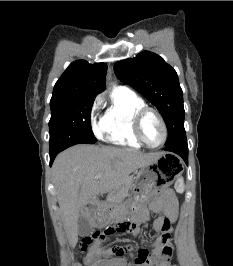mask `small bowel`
<instances>
[{"label": "small bowel", "instance_id": "obj_1", "mask_svg": "<svg viewBox=\"0 0 233 266\" xmlns=\"http://www.w3.org/2000/svg\"><path fill=\"white\" fill-rule=\"evenodd\" d=\"M152 213H163V217H158L153 222V228L156 233V239L149 247H131L130 251L145 255L144 260L135 258L128 262L120 256H114L112 247H102L101 243L92 245L86 256L84 264L86 266H169V260L172 255V233L173 224L177 217V201L171 191H166L164 195L150 205ZM167 219L168 225L163 226V219ZM148 219V210L142 203L138 212L133 216L135 223L144 222ZM134 233H138L136 228ZM141 242L145 244V240Z\"/></svg>", "mask_w": 233, "mask_h": 266}]
</instances>
